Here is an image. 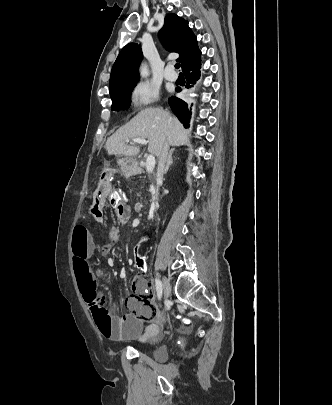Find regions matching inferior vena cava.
I'll list each match as a JSON object with an SVG mask.
<instances>
[{
  "mask_svg": "<svg viewBox=\"0 0 332 405\" xmlns=\"http://www.w3.org/2000/svg\"><path fill=\"white\" fill-rule=\"evenodd\" d=\"M169 151V144L165 143L163 150L161 152V155L159 157V162H158V169H157V174H156V181H157V186L163 181V175H164V170H165V164L167 161V155Z\"/></svg>",
  "mask_w": 332,
  "mask_h": 405,
  "instance_id": "obj_1",
  "label": "inferior vena cava"
}]
</instances>
